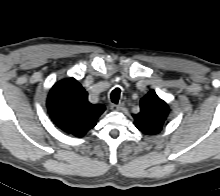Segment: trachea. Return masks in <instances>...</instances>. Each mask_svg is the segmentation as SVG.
<instances>
[{
  "instance_id": "1",
  "label": "trachea",
  "mask_w": 220,
  "mask_h": 196,
  "mask_svg": "<svg viewBox=\"0 0 220 196\" xmlns=\"http://www.w3.org/2000/svg\"><path fill=\"white\" fill-rule=\"evenodd\" d=\"M120 94H121V90L119 88L114 89L110 95L111 102L114 104H118L120 99Z\"/></svg>"
}]
</instances>
